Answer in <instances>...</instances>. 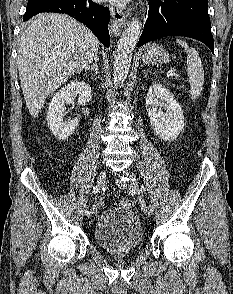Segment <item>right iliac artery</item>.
I'll use <instances>...</instances> for the list:
<instances>
[{
    "label": "right iliac artery",
    "instance_id": "right-iliac-artery-1",
    "mask_svg": "<svg viewBox=\"0 0 233 294\" xmlns=\"http://www.w3.org/2000/svg\"><path fill=\"white\" fill-rule=\"evenodd\" d=\"M98 192H99V187L98 186L93 187L92 193L96 194ZM90 211L91 210H89V209L85 210V214L88 216L90 214Z\"/></svg>",
    "mask_w": 233,
    "mask_h": 294
}]
</instances>
